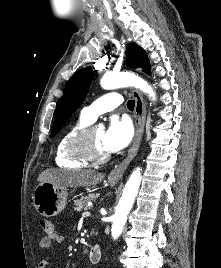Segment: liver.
Returning <instances> with one entry per match:
<instances>
[{"label":"liver","instance_id":"1","mask_svg":"<svg viewBox=\"0 0 221 268\" xmlns=\"http://www.w3.org/2000/svg\"><path fill=\"white\" fill-rule=\"evenodd\" d=\"M103 178L104 174L91 170L72 171L50 168L41 172L37 181L64 187H90L100 183Z\"/></svg>","mask_w":221,"mask_h":268}]
</instances>
